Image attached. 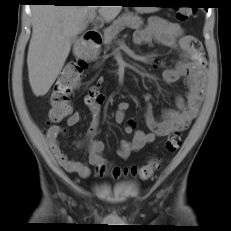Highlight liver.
Wrapping results in <instances>:
<instances>
[{"label": "liver", "mask_w": 231, "mask_h": 231, "mask_svg": "<svg viewBox=\"0 0 231 231\" xmlns=\"http://www.w3.org/2000/svg\"><path fill=\"white\" fill-rule=\"evenodd\" d=\"M27 65L29 82L36 96L45 95L58 77L71 50L72 38L82 33L85 20L95 14V6L35 5ZM121 6H99L98 12L112 21Z\"/></svg>", "instance_id": "6515ba94"}]
</instances>
